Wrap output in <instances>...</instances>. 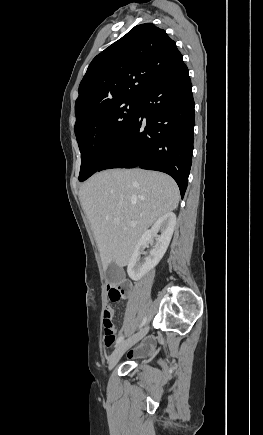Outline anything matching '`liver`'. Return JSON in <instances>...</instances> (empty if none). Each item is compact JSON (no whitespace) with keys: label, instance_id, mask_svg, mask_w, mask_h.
<instances>
[{"label":"liver","instance_id":"liver-1","mask_svg":"<svg viewBox=\"0 0 263 435\" xmlns=\"http://www.w3.org/2000/svg\"><path fill=\"white\" fill-rule=\"evenodd\" d=\"M104 270L126 266L142 234L179 203L176 182L168 175L141 169H110L90 177L79 190ZM114 219L120 221L115 224ZM135 223L134 226L129 223Z\"/></svg>","mask_w":263,"mask_h":435}]
</instances>
